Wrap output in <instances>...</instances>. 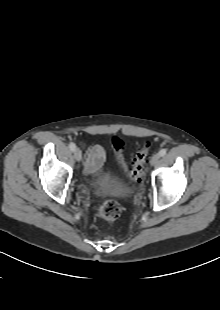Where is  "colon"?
<instances>
[{
	"label": "colon",
	"mask_w": 220,
	"mask_h": 310,
	"mask_svg": "<svg viewBox=\"0 0 220 310\" xmlns=\"http://www.w3.org/2000/svg\"><path fill=\"white\" fill-rule=\"evenodd\" d=\"M113 148L116 153V159L119 167L125 173L127 178L133 182L141 181L144 174V163L150 151L151 145L145 142L135 154L131 168L129 169L125 163L123 156L124 143L118 138L112 141ZM97 214L100 218L105 220H116L121 215V206L115 200H107L103 202L98 208Z\"/></svg>",
	"instance_id": "5ec220e1"
}]
</instances>
